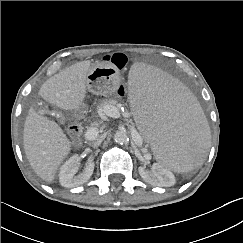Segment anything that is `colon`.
Here are the masks:
<instances>
[{"mask_svg":"<svg viewBox=\"0 0 243 243\" xmlns=\"http://www.w3.org/2000/svg\"><path fill=\"white\" fill-rule=\"evenodd\" d=\"M127 60H128L127 56L123 53H115L113 55L105 57V61L110 62L113 66H115L119 70L125 67V65L127 64ZM117 91L119 94H123L124 93L123 86H119ZM49 115L50 117L55 118L57 117L58 112L57 110L52 109L50 110Z\"/></svg>","mask_w":243,"mask_h":243,"instance_id":"5ec220e1","label":"colon"}]
</instances>
